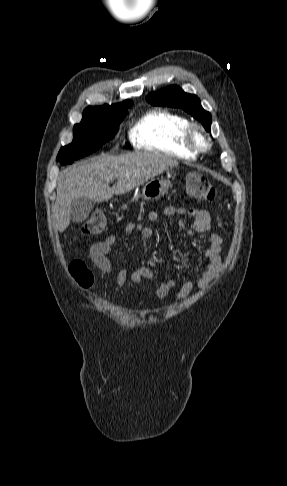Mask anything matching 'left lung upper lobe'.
<instances>
[{"mask_svg": "<svg viewBox=\"0 0 287 486\" xmlns=\"http://www.w3.org/2000/svg\"><path fill=\"white\" fill-rule=\"evenodd\" d=\"M146 99L154 106L181 108L199 120L207 131H210L211 114L202 108L200 99L196 95L185 93L180 87L173 85L150 93Z\"/></svg>", "mask_w": 287, "mask_h": 486, "instance_id": "obj_1", "label": "left lung upper lobe"}]
</instances>
